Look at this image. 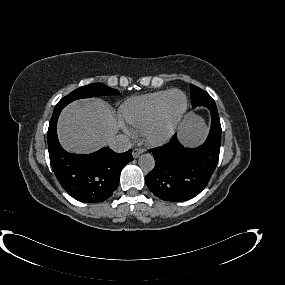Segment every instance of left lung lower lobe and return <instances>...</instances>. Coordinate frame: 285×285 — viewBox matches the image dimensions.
Returning <instances> with one entry per match:
<instances>
[{
    "mask_svg": "<svg viewBox=\"0 0 285 285\" xmlns=\"http://www.w3.org/2000/svg\"><path fill=\"white\" fill-rule=\"evenodd\" d=\"M211 112L212 124L206 142L195 149L181 146L177 137L149 150L154 169L145 177L149 190L165 201H186L198 195L212 176L219 159L221 124L215 103L203 105Z\"/></svg>",
    "mask_w": 285,
    "mask_h": 285,
    "instance_id": "left-lung-lower-lobe-1",
    "label": "left lung lower lobe"
}]
</instances>
